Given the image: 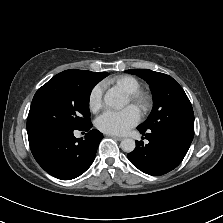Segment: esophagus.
Here are the masks:
<instances>
[{
  "label": "esophagus",
  "instance_id": "obj_1",
  "mask_svg": "<svg viewBox=\"0 0 223 223\" xmlns=\"http://www.w3.org/2000/svg\"><path fill=\"white\" fill-rule=\"evenodd\" d=\"M106 136H108L110 138H113L115 140H118V141H121L123 139L122 137H119V136H116V135H112V134H107Z\"/></svg>",
  "mask_w": 223,
  "mask_h": 223
}]
</instances>
